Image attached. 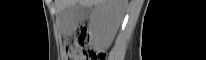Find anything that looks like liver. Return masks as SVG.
I'll return each mask as SVG.
<instances>
[{"instance_id":"6515ba94","label":"liver","mask_w":206,"mask_h":60,"mask_svg":"<svg viewBox=\"0 0 206 60\" xmlns=\"http://www.w3.org/2000/svg\"><path fill=\"white\" fill-rule=\"evenodd\" d=\"M112 0H55V6L57 9V12L60 13L64 8L79 3L81 6L84 7H91L94 5L99 4H114V12L112 17V32L111 36L112 38L116 34L122 19L124 15V11L126 8L127 1L126 0H114V2H111Z\"/></svg>"}]
</instances>
